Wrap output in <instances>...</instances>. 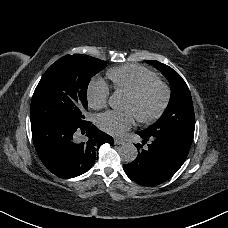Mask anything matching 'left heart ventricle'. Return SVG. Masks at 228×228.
Returning a JSON list of instances; mask_svg holds the SVG:
<instances>
[{
  "label": "left heart ventricle",
  "instance_id": "left-heart-ventricle-1",
  "mask_svg": "<svg viewBox=\"0 0 228 228\" xmlns=\"http://www.w3.org/2000/svg\"><path fill=\"white\" fill-rule=\"evenodd\" d=\"M160 98L161 89L156 88L151 93L142 97L139 101H133L127 97L122 109L132 112L133 115H136L139 118H146L156 110Z\"/></svg>",
  "mask_w": 228,
  "mask_h": 228
}]
</instances>
